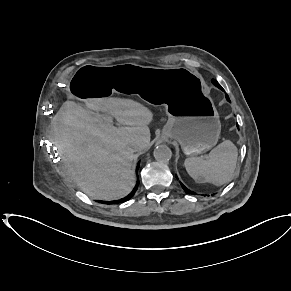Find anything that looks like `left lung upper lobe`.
I'll list each match as a JSON object with an SVG mask.
<instances>
[{"label": "left lung upper lobe", "mask_w": 291, "mask_h": 291, "mask_svg": "<svg viewBox=\"0 0 291 291\" xmlns=\"http://www.w3.org/2000/svg\"><path fill=\"white\" fill-rule=\"evenodd\" d=\"M212 83L215 85V86H217L218 88L220 87V84L216 81V80H212Z\"/></svg>", "instance_id": "left-lung-upper-lobe-1"}]
</instances>
